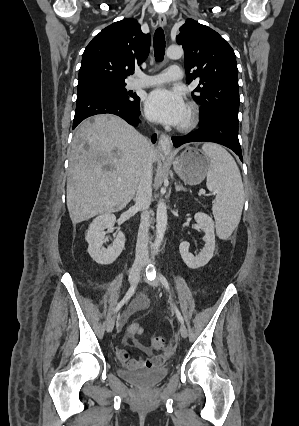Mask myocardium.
I'll use <instances>...</instances> for the list:
<instances>
[{
    "mask_svg": "<svg viewBox=\"0 0 299 426\" xmlns=\"http://www.w3.org/2000/svg\"><path fill=\"white\" fill-rule=\"evenodd\" d=\"M188 110V119L185 123L179 126V130L181 131H189L196 127L199 122L200 112L199 108L195 103H189L187 106Z\"/></svg>",
    "mask_w": 299,
    "mask_h": 426,
    "instance_id": "f54148a6",
    "label": "myocardium"
}]
</instances>
